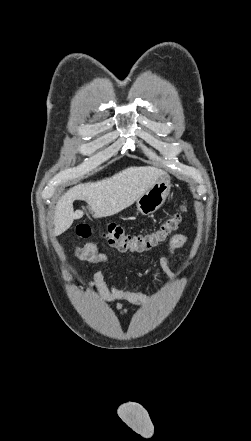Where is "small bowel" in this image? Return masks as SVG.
I'll return each mask as SVG.
<instances>
[{"label":"small bowel","mask_w":251,"mask_h":441,"mask_svg":"<svg viewBox=\"0 0 251 441\" xmlns=\"http://www.w3.org/2000/svg\"><path fill=\"white\" fill-rule=\"evenodd\" d=\"M187 242V237L183 234L174 235L169 243L170 250L173 252L182 247ZM74 257L86 260L91 265L114 263L113 259L100 252L97 245L94 243H87L83 246H74L71 250ZM162 272L170 281H174L175 274L170 268L169 260L166 256H162L159 261ZM88 290H96L99 295L106 301L112 304V308L119 313H126V310L119 303L126 301L138 306H147L156 302L162 293L147 295L136 290L122 288L113 284H109L102 271L95 270L87 285Z\"/></svg>","instance_id":"c3829d8e"}]
</instances>
